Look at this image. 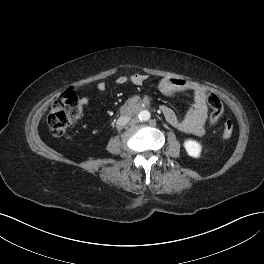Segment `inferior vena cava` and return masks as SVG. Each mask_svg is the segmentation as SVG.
<instances>
[{"label":"inferior vena cava","mask_w":264,"mask_h":264,"mask_svg":"<svg viewBox=\"0 0 264 264\" xmlns=\"http://www.w3.org/2000/svg\"><path fill=\"white\" fill-rule=\"evenodd\" d=\"M129 121H130V117H128V116H121V117H119V119L117 121V124L119 126H123V125H126Z\"/></svg>","instance_id":"inferior-vena-cava-1"}]
</instances>
